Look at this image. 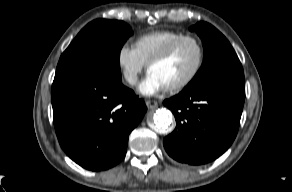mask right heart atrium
I'll use <instances>...</instances> for the list:
<instances>
[{
    "mask_svg": "<svg viewBox=\"0 0 292 192\" xmlns=\"http://www.w3.org/2000/svg\"><path fill=\"white\" fill-rule=\"evenodd\" d=\"M116 62L125 82L134 86L138 81L139 74L145 67V63L136 49L129 44L121 45L116 54Z\"/></svg>",
    "mask_w": 292,
    "mask_h": 192,
    "instance_id": "d8ad5b80",
    "label": "right heart atrium"
}]
</instances>
